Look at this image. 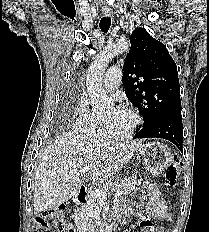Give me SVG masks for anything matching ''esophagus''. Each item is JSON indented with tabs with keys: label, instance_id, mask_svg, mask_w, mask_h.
Masks as SVG:
<instances>
[{
	"label": "esophagus",
	"instance_id": "34e87169",
	"mask_svg": "<svg viewBox=\"0 0 209 232\" xmlns=\"http://www.w3.org/2000/svg\"><path fill=\"white\" fill-rule=\"evenodd\" d=\"M102 12H103L104 16H111V15H113L112 11L110 9H103Z\"/></svg>",
	"mask_w": 209,
	"mask_h": 232
}]
</instances>
